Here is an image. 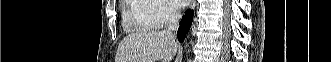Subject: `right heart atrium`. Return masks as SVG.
<instances>
[{
    "mask_svg": "<svg viewBox=\"0 0 331 62\" xmlns=\"http://www.w3.org/2000/svg\"><path fill=\"white\" fill-rule=\"evenodd\" d=\"M151 8L149 23L155 28H161L178 17V10L166 0H144Z\"/></svg>",
    "mask_w": 331,
    "mask_h": 62,
    "instance_id": "1",
    "label": "right heart atrium"
}]
</instances>
